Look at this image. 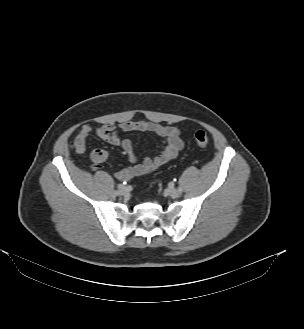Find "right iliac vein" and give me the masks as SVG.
Wrapping results in <instances>:
<instances>
[{
	"label": "right iliac vein",
	"mask_w": 304,
	"mask_h": 329,
	"mask_svg": "<svg viewBox=\"0 0 304 329\" xmlns=\"http://www.w3.org/2000/svg\"><path fill=\"white\" fill-rule=\"evenodd\" d=\"M119 195H126L127 194V188L123 185H119V189H118Z\"/></svg>",
	"instance_id": "1"
}]
</instances>
